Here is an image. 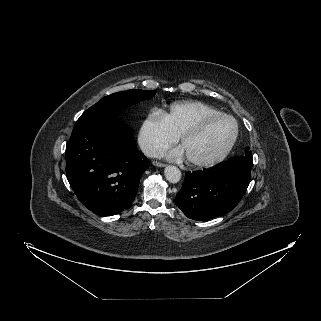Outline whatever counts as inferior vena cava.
Here are the masks:
<instances>
[{"label":"inferior vena cava","mask_w":321,"mask_h":321,"mask_svg":"<svg viewBox=\"0 0 321 321\" xmlns=\"http://www.w3.org/2000/svg\"><path fill=\"white\" fill-rule=\"evenodd\" d=\"M141 149L148 157H158L163 154L161 149L151 144H142Z\"/></svg>","instance_id":"inferior-vena-cava-1"}]
</instances>
